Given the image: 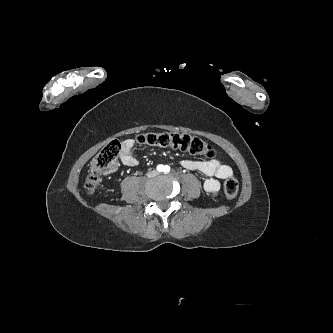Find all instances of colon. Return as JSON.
Instances as JSON below:
<instances>
[{
    "label": "colon",
    "instance_id": "colon-1",
    "mask_svg": "<svg viewBox=\"0 0 333 333\" xmlns=\"http://www.w3.org/2000/svg\"><path fill=\"white\" fill-rule=\"evenodd\" d=\"M137 142L147 146L170 147L180 149L192 155L213 158L215 153L212 147L198 137L176 132H151L141 134ZM121 151L119 141L107 144L91 161L90 172L85 182V189L93 193L100 182L101 175L114 171L118 166V157ZM239 190L235 177L229 176L224 181V194L228 200H233Z\"/></svg>",
    "mask_w": 333,
    "mask_h": 333
}]
</instances>
